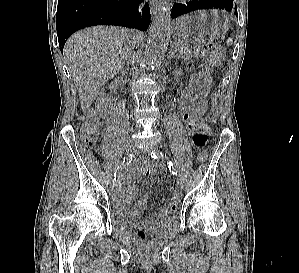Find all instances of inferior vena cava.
Here are the masks:
<instances>
[{"label": "inferior vena cava", "instance_id": "1", "mask_svg": "<svg viewBox=\"0 0 299 273\" xmlns=\"http://www.w3.org/2000/svg\"><path fill=\"white\" fill-rule=\"evenodd\" d=\"M133 48V43L130 45L129 49H128V55L130 54V50Z\"/></svg>", "mask_w": 299, "mask_h": 273}]
</instances>
